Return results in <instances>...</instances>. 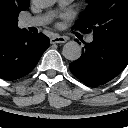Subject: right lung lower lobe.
<instances>
[{
    "label": "right lung lower lobe",
    "instance_id": "1",
    "mask_svg": "<svg viewBox=\"0 0 128 128\" xmlns=\"http://www.w3.org/2000/svg\"><path fill=\"white\" fill-rule=\"evenodd\" d=\"M48 47V37L25 28L13 36L0 38V78L15 80L27 75Z\"/></svg>",
    "mask_w": 128,
    "mask_h": 128
}]
</instances>
